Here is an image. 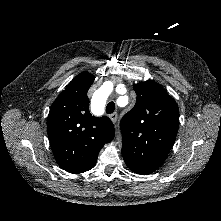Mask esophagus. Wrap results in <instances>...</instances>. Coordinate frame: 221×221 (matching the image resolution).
Returning a JSON list of instances; mask_svg holds the SVG:
<instances>
[{"mask_svg":"<svg viewBox=\"0 0 221 221\" xmlns=\"http://www.w3.org/2000/svg\"><path fill=\"white\" fill-rule=\"evenodd\" d=\"M109 118L112 120L113 123L117 122L118 114L116 112L109 115Z\"/></svg>","mask_w":221,"mask_h":221,"instance_id":"1","label":"esophagus"}]
</instances>
